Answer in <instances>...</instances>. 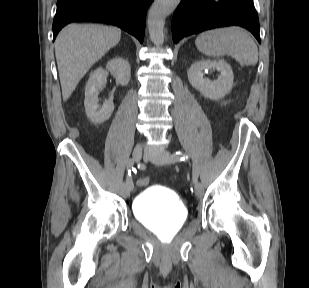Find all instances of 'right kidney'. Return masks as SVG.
<instances>
[{"mask_svg":"<svg viewBox=\"0 0 309 288\" xmlns=\"http://www.w3.org/2000/svg\"><path fill=\"white\" fill-rule=\"evenodd\" d=\"M107 70L115 77L116 83L125 86L130 81L131 68L127 60L114 58L103 68L96 69L85 87L84 107L88 118L94 123H103L114 111L113 94H110L102 106L98 105V91L103 88L107 79Z\"/></svg>","mask_w":309,"mask_h":288,"instance_id":"1","label":"right kidney"}]
</instances>
